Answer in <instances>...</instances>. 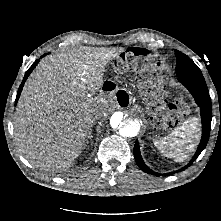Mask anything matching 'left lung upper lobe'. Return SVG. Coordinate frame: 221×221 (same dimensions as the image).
<instances>
[{
  "label": "left lung upper lobe",
  "mask_w": 221,
  "mask_h": 221,
  "mask_svg": "<svg viewBox=\"0 0 221 221\" xmlns=\"http://www.w3.org/2000/svg\"><path fill=\"white\" fill-rule=\"evenodd\" d=\"M175 54L177 58V75H202L200 69L188 56L178 50L175 51Z\"/></svg>",
  "instance_id": "5c2ea615"
}]
</instances>
